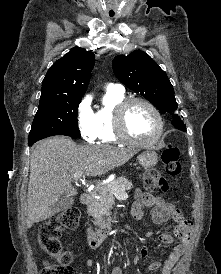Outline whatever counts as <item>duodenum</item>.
<instances>
[{"instance_id":"obj_1","label":"duodenum","mask_w":221,"mask_h":274,"mask_svg":"<svg viewBox=\"0 0 221 274\" xmlns=\"http://www.w3.org/2000/svg\"><path fill=\"white\" fill-rule=\"evenodd\" d=\"M92 201V193L84 192L80 195V202L83 205H87ZM113 232L112 226L109 223L101 225L96 230H89L87 233V242L91 248H97L106 239H108Z\"/></svg>"}]
</instances>
